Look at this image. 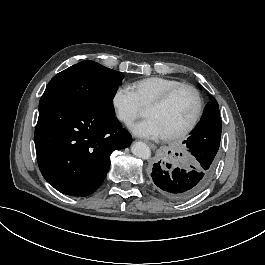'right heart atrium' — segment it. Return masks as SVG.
<instances>
[{"instance_id":"right-heart-atrium-1","label":"right heart atrium","mask_w":265,"mask_h":265,"mask_svg":"<svg viewBox=\"0 0 265 265\" xmlns=\"http://www.w3.org/2000/svg\"><path fill=\"white\" fill-rule=\"evenodd\" d=\"M112 115L119 123L133 124L143 116V107L136 104V97L126 84L115 88L111 96Z\"/></svg>"}]
</instances>
